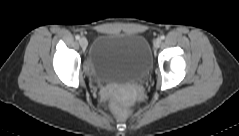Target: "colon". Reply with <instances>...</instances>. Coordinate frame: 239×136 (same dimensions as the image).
Segmentation results:
<instances>
[{"instance_id": "1", "label": "colon", "mask_w": 239, "mask_h": 136, "mask_svg": "<svg viewBox=\"0 0 239 136\" xmlns=\"http://www.w3.org/2000/svg\"><path fill=\"white\" fill-rule=\"evenodd\" d=\"M119 90L118 89H116L115 90V92H114V96H115V99H117L118 98V96H119Z\"/></svg>"}]
</instances>
